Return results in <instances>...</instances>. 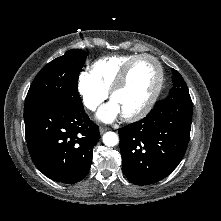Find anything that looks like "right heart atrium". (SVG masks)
<instances>
[{
  "label": "right heart atrium",
  "mask_w": 221,
  "mask_h": 221,
  "mask_svg": "<svg viewBox=\"0 0 221 221\" xmlns=\"http://www.w3.org/2000/svg\"><path fill=\"white\" fill-rule=\"evenodd\" d=\"M77 87L83 104L91 111L96 110L108 97V92L103 90L88 72L80 73Z\"/></svg>",
  "instance_id": "obj_1"
}]
</instances>
